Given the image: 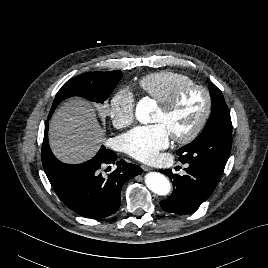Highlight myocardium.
<instances>
[{
	"instance_id": "myocardium-1",
	"label": "myocardium",
	"mask_w": 268,
	"mask_h": 268,
	"mask_svg": "<svg viewBox=\"0 0 268 268\" xmlns=\"http://www.w3.org/2000/svg\"><path fill=\"white\" fill-rule=\"evenodd\" d=\"M191 90H199L204 94L205 97V107L202 116L200 119L197 121L195 126L191 131L186 133L185 135L182 136H171L173 141L176 142L177 144H187L193 141L194 139L197 138V136L201 133L205 125L207 124L211 112H212V105H213V100H212V95L210 90L200 84L197 83H190L186 84L180 88H178L175 93L168 99L163 104H159V108L165 115L171 114L175 108L178 106L180 103L181 98Z\"/></svg>"
}]
</instances>
